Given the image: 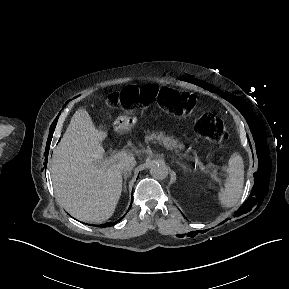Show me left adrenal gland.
<instances>
[{"instance_id": "a2214340", "label": "left adrenal gland", "mask_w": 289, "mask_h": 289, "mask_svg": "<svg viewBox=\"0 0 289 289\" xmlns=\"http://www.w3.org/2000/svg\"><path fill=\"white\" fill-rule=\"evenodd\" d=\"M180 166H182V168H183V170L184 171H190V169L185 165V164H183V163H181L180 161H176Z\"/></svg>"}]
</instances>
